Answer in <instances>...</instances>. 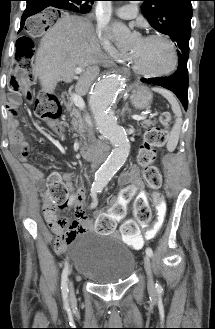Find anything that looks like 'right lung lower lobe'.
I'll use <instances>...</instances> for the list:
<instances>
[{"label": "right lung lower lobe", "instance_id": "98d812e1", "mask_svg": "<svg viewBox=\"0 0 215 329\" xmlns=\"http://www.w3.org/2000/svg\"><path fill=\"white\" fill-rule=\"evenodd\" d=\"M49 3V1H45V0H27V7L24 11V14L22 16V20H21V26H20V31L22 30L25 20L26 18H28L29 16L35 15L36 13L42 11L44 8V5ZM53 5H55V3L53 2ZM56 8L59 9H65V10H70L69 7L65 4V2H59L56 6ZM72 11V10H70Z\"/></svg>", "mask_w": 215, "mask_h": 329}]
</instances>
